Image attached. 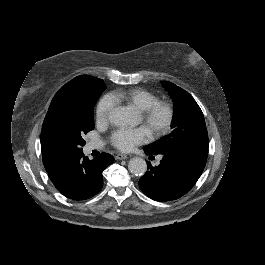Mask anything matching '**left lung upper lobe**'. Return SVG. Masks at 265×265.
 <instances>
[{
    "instance_id": "1",
    "label": "left lung upper lobe",
    "mask_w": 265,
    "mask_h": 265,
    "mask_svg": "<svg viewBox=\"0 0 265 265\" xmlns=\"http://www.w3.org/2000/svg\"><path fill=\"white\" fill-rule=\"evenodd\" d=\"M174 101L172 132L144 147L150 154H163L184 147L208 148V134L203 113L193 97L176 86L163 81Z\"/></svg>"
}]
</instances>
